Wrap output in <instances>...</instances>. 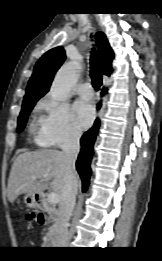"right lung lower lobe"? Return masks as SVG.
Instances as JSON below:
<instances>
[{
	"label": "right lung lower lobe",
	"instance_id": "obj_1",
	"mask_svg": "<svg viewBox=\"0 0 162 261\" xmlns=\"http://www.w3.org/2000/svg\"><path fill=\"white\" fill-rule=\"evenodd\" d=\"M105 93V89L103 92ZM101 104H98V109ZM100 126L99 119H96L94 126L88 130L81 138V151L76 161V169L82 179L83 191H86L91 174V160L93 156V146Z\"/></svg>",
	"mask_w": 162,
	"mask_h": 261
}]
</instances>
